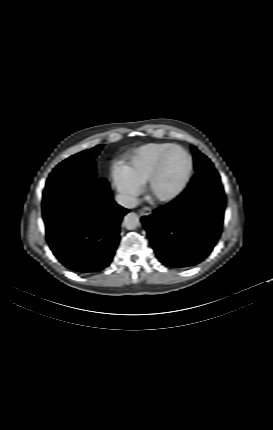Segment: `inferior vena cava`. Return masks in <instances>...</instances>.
I'll return each mask as SVG.
<instances>
[{
  "label": "inferior vena cava",
  "mask_w": 273,
  "mask_h": 430,
  "mask_svg": "<svg viewBox=\"0 0 273 430\" xmlns=\"http://www.w3.org/2000/svg\"><path fill=\"white\" fill-rule=\"evenodd\" d=\"M116 202L128 209L135 208L138 205V201L135 197L126 194H118L115 197Z\"/></svg>",
  "instance_id": "inferior-vena-cava-1"
}]
</instances>
